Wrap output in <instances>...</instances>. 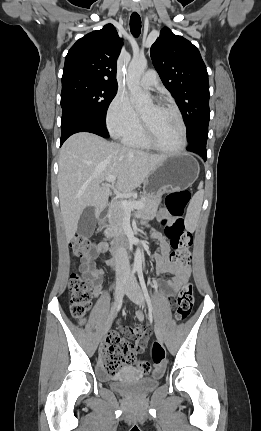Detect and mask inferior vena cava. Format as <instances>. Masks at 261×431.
Listing matches in <instances>:
<instances>
[{"instance_id": "obj_1", "label": "inferior vena cava", "mask_w": 261, "mask_h": 431, "mask_svg": "<svg viewBox=\"0 0 261 431\" xmlns=\"http://www.w3.org/2000/svg\"><path fill=\"white\" fill-rule=\"evenodd\" d=\"M116 259L120 261L119 266L116 267V275L125 277L128 274V256L125 247L121 246L118 248L116 253Z\"/></svg>"}]
</instances>
